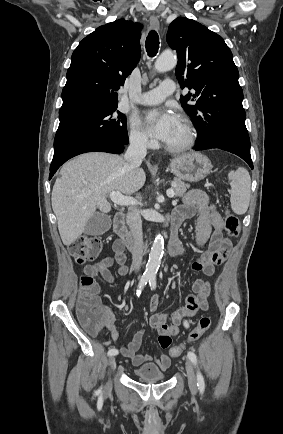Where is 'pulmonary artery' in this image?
Segmentation results:
<instances>
[{
    "label": "pulmonary artery",
    "instance_id": "1",
    "mask_svg": "<svg viewBox=\"0 0 283 434\" xmlns=\"http://www.w3.org/2000/svg\"><path fill=\"white\" fill-rule=\"evenodd\" d=\"M175 91V83L172 80L162 81L158 87L140 94L135 101L142 105H151L162 102Z\"/></svg>",
    "mask_w": 283,
    "mask_h": 434
}]
</instances>
